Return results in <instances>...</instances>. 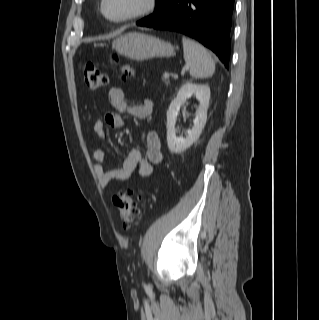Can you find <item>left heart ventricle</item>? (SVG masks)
I'll return each instance as SVG.
<instances>
[{
    "label": "left heart ventricle",
    "instance_id": "1",
    "mask_svg": "<svg viewBox=\"0 0 319 320\" xmlns=\"http://www.w3.org/2000/svg\"><path fill=\"white\" fill-rule=\"evenodd\" d=\"M145 0H107L105 9L109 16L122 18L140 9Z\"/></svg>",
    "mask_w": 319,
    "mask_h": 320
}]
</instances>
